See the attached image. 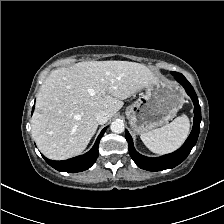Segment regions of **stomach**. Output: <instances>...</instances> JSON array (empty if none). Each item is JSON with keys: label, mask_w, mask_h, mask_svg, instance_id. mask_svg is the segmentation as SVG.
I'll list each match as a JSON object with an SVG mask.
<instances>
[{"label": "stomach", "mask_w": 224, "mask_h": 224, "mask_svg": "<svg viewBox=\"0 0 224 224\" xmlns=\"http://www.w3.org/2000/svg\"><path fill=\"white\" fill-rule=\"evenodd\" d=\"M184 102L182 89L173 82L157 79L126 109V117L137 134L146 133L170 121Z\"/></svg>", "instance_id": "obj_1"}]
</instances>
